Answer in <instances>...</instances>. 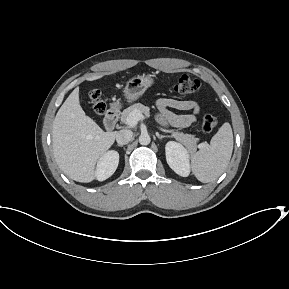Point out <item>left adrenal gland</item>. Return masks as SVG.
I'll use <instances>...</instances> for the list:
<instances>
[{
    "label": "left adrenal gland",
    "mask_w": 289,
    "mask_h": 289,
    "mask_svg": "<svg viewBox=\"0 0 289 289\" xmlns=\"http://www.w3.org/2000/svg\"><path fill=\"white\" fill-rule=\"evenodd\" d=\"M156 136L158 137V139L170 137V136H166V135H160L158 133H156Z\"/></svg>",
    "instance_id": "a2214340"
}]
</instances>
